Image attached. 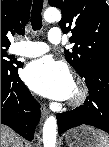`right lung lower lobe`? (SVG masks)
<instances>
[{
    "label": "right lung lower lobe",
    "instance_id": "right-lung-lower-lobe-1",
    "mask_svg": "<svg viewBox=\"0 0 109 147\" xmlns=\"http://www.w3.org/2000/svg\"><path fill=\"white\" fill-rule=\"evenodd\" d=\"M18 67L1 65V123L31 141L40 120V104L18 77Z\"/></svg>",
    "mask_w": 109,
    "mask_h": 147
}]
</instances>
